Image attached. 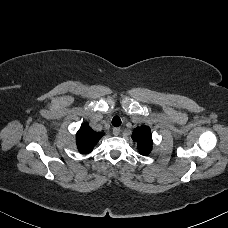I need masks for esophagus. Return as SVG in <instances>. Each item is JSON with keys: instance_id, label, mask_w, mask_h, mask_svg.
Instances as JSON below:
<instances>
[{"instance_id": "obj_1", "label": "esophagus", "mask_w": 228, "mask_h": 228, "mask_svg": "<svg viewBox=\"0 0 228 228\" xmlns=\"http://www.w3.org/2000/svg\"><path fill=\"white\" fill-rule=\"evenodd\" d=\"M119 133H120V128H114V129H113V134H114V136H118Z\"/></svg>"}]
</instances>
